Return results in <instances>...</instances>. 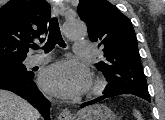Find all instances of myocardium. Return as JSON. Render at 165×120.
<instances>
[{
	"label": "myocardium",
	"instance_id": "obj_1",
	"mask_svg": "<svg viewBox=\"0 0 165 120\" xmlns=\"http://www.w3.org/2000/svg\"><path fill=\"white\" fill-rule=\"evenodd\" d=\"M106 86V82L103 79H94L88 89L87 96H95L100 94Z\"/></svg>",
	"mask_w": 165,
	"mask_h": 120
}]
</instances>
